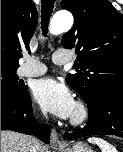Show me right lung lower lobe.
Listing matches in <instances>:
<instances>
[{"instance_id":"1","label":"right lung lower lobe","mask_w":123,"mask_h":152,"mask_svg":"<svg viewBox=\"0 0 123 152\" xmlns=\"http://www.w3.org/2000/svg\"><path fill=\"white\" fill-rule=\"evenodd\" d=\"M1 130L35 135L49 143L50 127L34 121L27 89L21 94L1 95Z\"/></svg>"}]
</instances>
